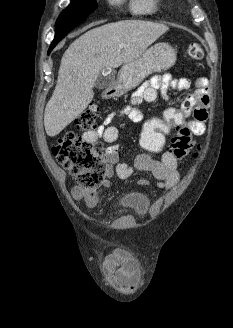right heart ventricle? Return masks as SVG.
I'll return each mask as SVG.
<instances>
[{
  "instance_id": "right-heart-ventricle-1",
  "label": "right heart ventricle",
  "mask_w": 233,
  "mask_h": 328,
  "mask_svg": "<svg viewBox=\"0 0 233 328\" xmlns=\"http://www.w3.org/2000/svg\"><path fill=\"white\" fill-rule=\"evenodd\" d=\"M131 10L136 14L153 13L158 8V0H130Z\"/></svg>"
}]
</instances>
